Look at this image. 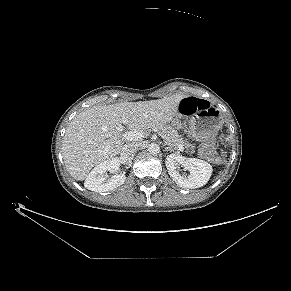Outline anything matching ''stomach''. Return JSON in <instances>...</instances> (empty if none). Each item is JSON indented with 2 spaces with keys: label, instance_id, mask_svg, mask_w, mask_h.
Masks as SVG:
<instances>
[{
  "label": "stomach",
  "instance_id": "stomach-1",
  "mask_svg": "<svg viewBox=\"0 0 291 291\" xmlns=\"http://www.w3.org/2000/svg\"><path fill=\"white\" fill-rule=\"evenodd\" d=\"M182 115L177 114L172 123L174 126H185L188 133L197 139L210 138L222 127V117L219 111L214 107H208L197 111L189 116L185 122L181 121Z\"/></svg>",
  "mask_w": 291,
  "mask_h": 291
}]
</instances>
